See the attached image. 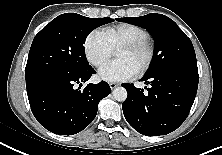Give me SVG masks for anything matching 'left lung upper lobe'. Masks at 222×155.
I'll list each match as a JSON object with an SVG mask.
<instances>
[{
    "mask_svg": "<svg viewBox=\"0 0 222 155\" xmlns=\"http://www.w3.org/2000/svg\"><path fill=\"white\" fill-rule=\"evenodd\" d=\"M149 31L154 39L155 50L146 74L183 69L198 73L195 51L191 40L178 25L165 15L150 13L140 17L119 18Z\"/></svg>",
    "mask_w": 222,
    "mask_h": 155,
    "instance_id": "obj_1",
    "label": "left lung upper lobe"
}]
</instances>
